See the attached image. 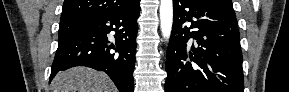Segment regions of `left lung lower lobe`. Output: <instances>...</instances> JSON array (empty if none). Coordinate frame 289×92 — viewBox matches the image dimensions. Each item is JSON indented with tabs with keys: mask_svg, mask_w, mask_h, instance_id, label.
<instances>
[{
	"mask_svg": "<svg viewBox=\"0 0 289 92\" xmlns=\"http://www.w3.org/2000/svg\"><path fill=\"white\" fill-rule=\"evenodd\" d=\"M173 9L165 91L244 92L235 14L207 0H173Z\"/></svg>",
	"mask_w": 289,
	"mask_h": 92,
	"instance_id": "1",
	"label": "left lung lower lobe"
}]
</instances>
